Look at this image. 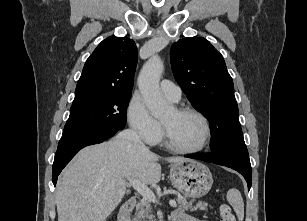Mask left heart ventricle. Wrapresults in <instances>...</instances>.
<instances>
[{
  "mask_svg": "<svg viewBox=\"0 0 307 221\" xmlns=\"http://www.w3.org/2000/svg\"><path fill=\"white\" fill-rule=\"evenodd\" d=\"M171 142L180 148H192L200 144L204 135L201 120L192 114H179L173 109L162 118Z\"/></svg>",
  "mask_w": 307,
  "mask_h": 221,
  "instance_id": "b2bd125f",
  "label": "left heart ventricle"
}]
</instances>
